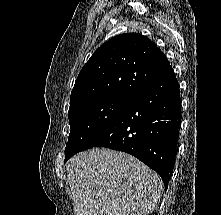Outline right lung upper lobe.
Here are the masks:
<instances>
[{
	"label": "right lung upper lobe",
	"instance_id": "right-lung-upper-lobe-1",
	"mask_svg": "<svg viewBox=\"0 0 221 215\" xmlns=\"http://www.w3.org/2000/svg\"><path fill=\"white\" fill-rule=\"evenodd\" d=\"M171 69L164 53L147 37L139 33L117 35L83 66L70 105L105 95L133 96Z\"/></svg>",
	"mask_w": 221,
	"mask_h": 215
}]
</instances>
